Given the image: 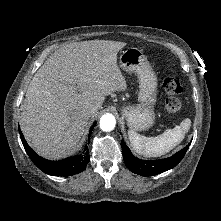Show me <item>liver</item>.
Wrapping results in <instances>:
<instances>
[{
  "instance_id": "liver-1",
  "label": "liver",
  "mask_w": 221,
  "mask_h": 221,
  "mask_svg": "<svg viewBox=\"0 0 221 221\" xmlns=\"http://www.w3.org/2000/svg\"><path fill=\"white\" fill-rule=\"evenodd\" d=\"M126 43L75 42L59 48L33 76L20 117L21 130L41 156L59 159L79 142L89 117L85 105L101 108L105 96L125 91L117 54Z\"/></svg>"
}]
</instances>
